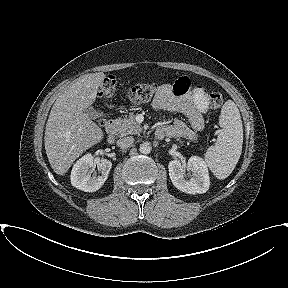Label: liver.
Masks as SVG:
<instances>
[{
	"mask_svg": "<svg viewBox=\"0 0 288 288\" xmlns=\"http://www.w3.org/2000/svg\"><path fill=\"white\" fill-rule=\"evenodd\" d=\"M104 78L103 72L83 75L66 88L51 109L44 145L58 175H64L83 152L103 139L102 129L84 110L95 102Z\"/></svg>",
	"mask_w": 288,
	"mask_h": 288,
	"instance_id": "1",
	"label": "liver"
}]
</instances>
